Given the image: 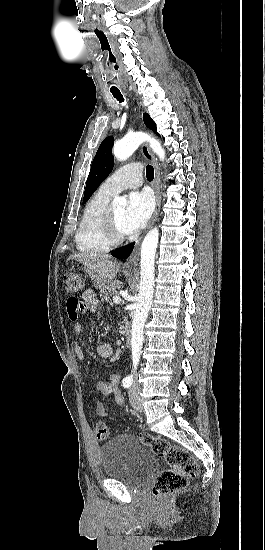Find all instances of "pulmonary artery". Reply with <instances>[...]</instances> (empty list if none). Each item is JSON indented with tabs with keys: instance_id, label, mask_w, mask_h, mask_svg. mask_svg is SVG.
Here are the masks:
<instances>
[{
	"instance_id": "obj_1",
	"label": "pulmonary artery",
	"mask_w": 265,
	"mask_h": 550,
	"mask_svg": "<svg viewBox=\"0 0 265 550\" xmlns=\"http://www.w3.org/2000/svg\"><path fill=\"white\" fill-rule=\"evenodd\" d=\"M143 183L142 168L139 162L126 164L111 174L101 185V188L116 195L129 188H136Z\"/></svg>"
}]
</instances>
